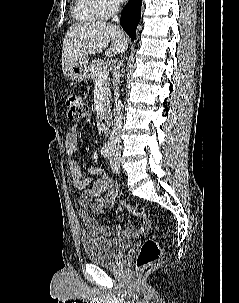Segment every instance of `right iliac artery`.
Segmentation results:
<instances>
[{"mask_svg":"<svg viewBox=\"0 0 239 303\" xmlns=\"http://www.w3.org/2000/svg\"><path fill=\"white\" fill-rule=\"evenodd\" d=\"M110 146L109 144H104V146L101 149V155L103 157H107L109 155ZM123 182V181H122Z\"/></svg>","mask_w":239,"mask_h":303,"instance_id":"1","label":"right iliac artery"}]
</instances>
